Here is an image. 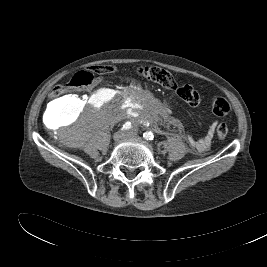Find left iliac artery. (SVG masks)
Instances as JSON below:
<instances>
[{"label": "left iliac artery", "mask_w": 267, "mask_h": 267, "mask_svg": "<svg viewBox=\"0 0 267 267\" xmlns=\"http://www.w3.org/2000/svg\"><path fill=\"white\" fill-rule=\"evenodd\" d=\"M143 137L146 139V140H153L154 139V135L152 132H145L143 133Z\"/></svg>", "instance_id": "left-iliac-artery-1"}]
</instances>
